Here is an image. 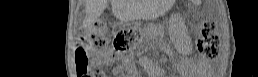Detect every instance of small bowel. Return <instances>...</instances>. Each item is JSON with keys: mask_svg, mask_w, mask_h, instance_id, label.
Here are the masks:
<instances>
[{"mask_svg": "<svg viewBox=\"0 0 258 77\" xmlns=\"http://www.w3.org/2000/svg\"><path fill=\"white\" fill-rule=\"evenodd\" d=\"M103 58H104L103 55H101L100 53H97V52H94V53H93V59H94L96 62L102 63Z\"/></svg>", "mask_w": 258, "mask_h": 77, "instance_id": "obj_1", "label": "small bowel"}]
</instances>
